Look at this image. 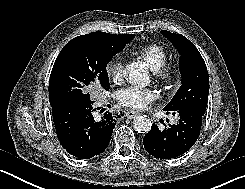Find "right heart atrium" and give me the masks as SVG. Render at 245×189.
I'll use <instances>...</instances> for the list:
<instances>
[{"mask_svg": "<svg viewBox=\"0 0 245 189\" xmlns=\"http://www.w3.org/2000/svg\"><path fill=\"white\" fill-rule=\"evenodd\" d=\"M123 61L121 57L111 58L105 65L106 74L115 82L122 79Z\"/></svg>", "mask_w": 245, "mask_h": 189, "instance_id": "1", "label": "right heart atrium"}]
</instances>
